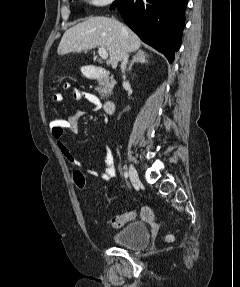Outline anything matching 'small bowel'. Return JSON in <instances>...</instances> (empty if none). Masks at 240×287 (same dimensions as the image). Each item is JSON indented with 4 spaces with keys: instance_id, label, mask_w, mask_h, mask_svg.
<instances>
[{
    "instance_id": "small-bowel-1",
    "label": "small bowel",
    "mask_w": 240,
    "mask_h": 287,
    "mask_svg": "<svg viewBox=\"0 0 240 287\" xmlns=\"http://www.w3.org/2000/svg\"><path fill=\"white\" fill-rule=\"evenodd\" d=\"M63 87L64 89L69 90L71 92V95L75 100L88 103L91 109L93 110H97L100 108L101 106L100 100L95 94L84 90L72 88L71 85L69 84H64ZM52 99L54 102L60 103L64 101V95L62 93H54ZM85 115H86L85 110H78L73 115L69 116L67 118L68 126L66 131H69L73 134L77 133L79 128V120ZM53 137L58 145L61 154L66 159V161L78 169H83L84 165L74 156L72 151L66 145L63 136L60 137L53 136ZM86 172L90 176L100 177L105 181L111 180L116 174V167L112 150L109 147L106 149L104 157V167L102 171L87 169ZM152 216L153 212L149 206H143L141 208V217L143 219L150 220Z\"/></svg>"
}]
</instances>
